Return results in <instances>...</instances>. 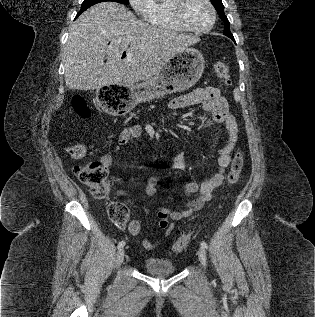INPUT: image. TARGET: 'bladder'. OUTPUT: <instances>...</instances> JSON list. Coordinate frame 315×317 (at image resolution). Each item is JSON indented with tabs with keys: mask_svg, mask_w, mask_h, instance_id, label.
Listing matches in <instances>:
<instances>
[{
	"mask_svg": "<svg viewBox=\"0 0 315 317\" xmlns=\"http://www.w3.org/2000/svg\"><path fill=\"white\" fill-rule=\"evenodd\" d=\"M144 270L154 276H170L175 273L173 262L160 258H147L143 264Z\"/></svg>",
	"mask_w": 315,
	"mask_h": 317,
	"instance_id": "31cf9c89",
	"label": "bladder"
}]
</instances>
